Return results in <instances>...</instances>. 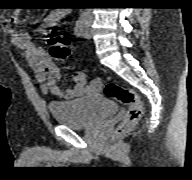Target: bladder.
<instances>
[{"instance_id":"1","label":"bladder","mask_w":192,"mask_h":180,"mask_svg":"<svg viewBox=\"0 0 192 180\" xmlns=\"http://www.w3.org/2000/svg\"><path fill=\"white\" fill-rule=\"evenodd\" d=\"M48 108L57 123L72 129L90 126L117 111L113 101L99 94L69 101H53Z\"/></svg>"}]
</instances>
